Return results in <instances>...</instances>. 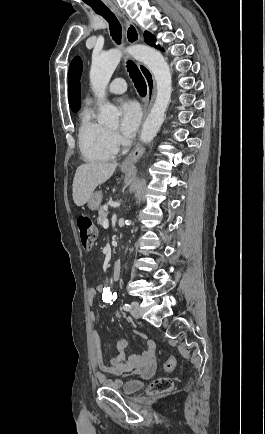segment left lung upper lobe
<instances>
[{
    "label": "left lung upper lobe",
    "instance_id": "left-lung-upper-lobe-1",
    "mask_svg": "<svg viewBox=\"0 0 265 434\" xmlns=\"http://www.w3.org/2000/svg\"><path fill=\"white\" fill-rule=\"evenodd\" d=\"M144 39H145V42L147 44H149L151 46H154L157 49H161L160 46L155 45V37L151 33L145 31V33H144Z\"/></svg>",
    "mask_w": 265,
    "mask_h": 434
}]
</instances>
